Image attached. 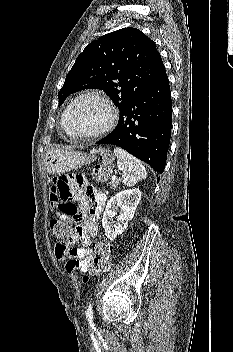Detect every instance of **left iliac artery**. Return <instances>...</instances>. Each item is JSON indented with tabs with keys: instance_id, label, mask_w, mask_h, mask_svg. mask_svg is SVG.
I'll use <instances>...</instances> for the list:
<instances>
[{
	"instance_id": "left-iliac-artery-1",
	"label": "left iliac artery",
	"mask_w": 233,
	"mask_h": 352,
	"mask_svg": "<svg viewBox=\"0 0 233 352\" xmlns=\"http://www.w3.org/2000/svg\"><path fill=\"white\" fill-rule=\"evenodd\" d=\"M86 318L87 320L91 323L93 320V310H92V304L90 303L87 312H86Z\"/></svg>"
}]
</instances>
